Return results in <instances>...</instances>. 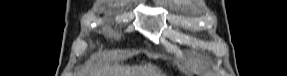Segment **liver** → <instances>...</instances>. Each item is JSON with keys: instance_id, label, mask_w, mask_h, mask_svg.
I'll use <instances>...</instances> for the list:
<instances>
[{"instance_id": "obj_1", "label": "liver", "mask_w": 287, "mask_h": 76, "mask_svg": "<svg viewBox=\"0 0 287 76\" xmlns=\"http://www.w3.org/2000/svg\"><path fill=\"white\" fill-rule=\"evenodd\" d=\"M108 57L105 52H97L90 56L85 62L84 69L86 76H153L147 74H155L151 71V68H146L143 73L140 67H129L119 63H106L103 64L104 60ZM135 74H146V75H135Z\"/></svg>"}]
</instances>
